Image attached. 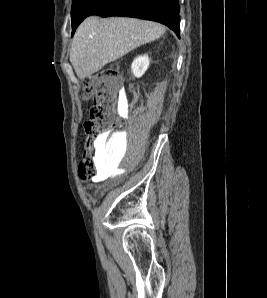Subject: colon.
I'll return each instance as SVG.
<instances>
[{
    "mask_svg": "<svg viewBox=\"0 0 267 298\" xmlns=\"http://www.w3.org/2000/svg\"><path fill=\"white\" fill-rule=\"evenodd\" d=\"M120 86V77L116 69L108 68L85 80L83 99H93L89 118L84 122L86 143L79 162V175L90 180L99 174L95 154L101 144L102 135L120 124L116 114V94Z\"/></svg>",
    "mask_w": 267,
    "mask_h": 298,
    "instance_id": "obj_1",
    "label": "colon"
}]
</instances>
